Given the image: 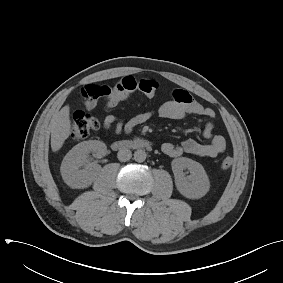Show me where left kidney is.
<instances>
[{
    "mask_svg": "<svg viewBox=\"0 0 283 283\" xmlns=\"http://www.w3.org/2000/svg\"><path fill=\"white\" fill-rule=\"evenodd\" d=\"M171 166L176 187L186 198L199 199L209 191V178L200 163L186 157H180L174 159ZM185 169L189 170L190 175H185Z\"/></svg>",
    "mask_w": 283,
    "mask_h": 283,
    "instance_id": "left-kidney-1",
    "label": "left kidney"
}]
</instances>
